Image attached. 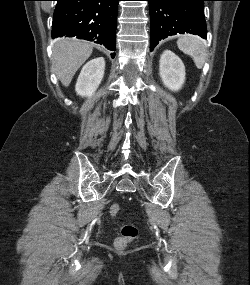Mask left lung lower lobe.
I'll use <instances>...</instances> for the list:
<instances>
[{
	"label": "left lung lower lobe",
	"mask_w": 250,
	"mask_h": 285,
	"mask_svg": "<svg viewBox=\"0 0 250 285\" xmlns=\"http://www.w3.org/2000/svg\"><path fill=\"white\" fill-rule=\"evenodd\" d=\"M151 19L150 51L161 39L177 33L196 34L207 38L204 1L208 0H146Z\"/></svg>",
	"instance_id": "0a47b994"
}]
</instances>
